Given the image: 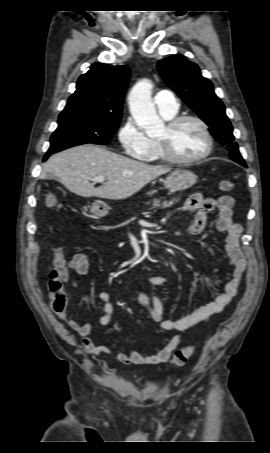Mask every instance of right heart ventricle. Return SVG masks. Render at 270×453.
<instances>
[{"label": "right heart ventricle", "mask_w": 270, "mask_h": 453, "mask_svg": "<svg viewBox=\"0 0 270 453\" xmlns=\"http://www.w3.org/2000/svg\"><path fill=\"white\" fill-rule=\"evenodd\" d=\"M163 116L166 119H170V118L174 117V115H172V116L163 115ZM140 160H142L144 162H150V163H160V162L167 161L164 158V156L160 150V147L158 145V142L156 140H150L149 149L142 157H140Z\"/></svg>", "instance_id": "1"}]
</instances>
